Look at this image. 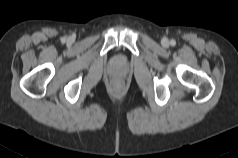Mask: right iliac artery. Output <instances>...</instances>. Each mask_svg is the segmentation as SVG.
Returning <instances> with one entry per match:
<instances>
[{
  "instance_id": "obj_1",
  "label": "right iliac artery",
  "mask_w": 238,
  "mask_h": 158,
  "mask_svg": "<svg viewBox=\"0 0 238 158\" xmlns=\"http://www.w3.org/2000/svg\"><path fill=\"white\" fill-rule=\"evenodd\" d=\"M62 41H65V38H62Z\"/></svg>"
}]
</instances>
